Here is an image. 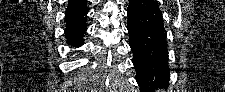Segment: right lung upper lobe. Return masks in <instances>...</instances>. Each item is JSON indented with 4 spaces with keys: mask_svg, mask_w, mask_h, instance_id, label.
<instances>
[{
    "mask_svg": "<svg viewBox=\"0 0 225 92\" xmlns=\"http://www.w3.org/2000/svg\"><path fill=\"white\" fill-rule=\"evenodd\" d=\"M88 12L87 4L84 0H69L65 12V20H70L84 15Z\"/></svg>",
    "mask_w": 225,
    "mask_h": 92,
    "instance_id": "cb5924a9",
    "label": "right lung upper lobe"
}]
</instances>
